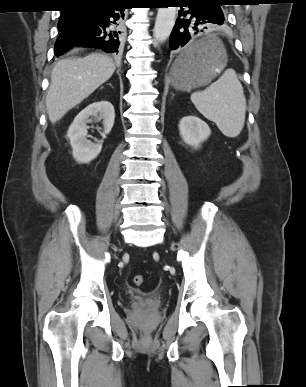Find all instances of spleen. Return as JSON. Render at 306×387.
I'll list each match as a JSON object with an SVG mask.
<instances>
[{
	"label": "spleen",
	"instance_id": "spleen-1",
	"mask_svg": "<svg viewBox=\"0 0 306 387\" xmlns=\"http://www.w3.org/2000/svg\"><path fill=\"white\" fill-rule=\"evenodd\" d=\"M191 101L208 120L216 123L227 137H236L243 129L246 99L234 70L227 69L205 91L192 93Z\"/></svg>",
	"mask_w": 306,
	"mask_h": 387
}]
</instances>
